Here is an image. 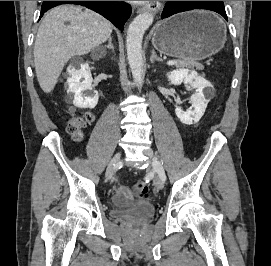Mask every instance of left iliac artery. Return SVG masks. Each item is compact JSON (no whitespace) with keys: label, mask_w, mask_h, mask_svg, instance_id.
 I'll return each mask as SVG.
<instances>
[{"label":"left iliac artery","mask_w":271,"mask_h":266,"mask_svg":"<svg viewBox=\"0 0 271 266\" xmlns=\"http://www.w3.org/2000/svg\"><path fill=\"white\" fill-rule=\"evenodd\" d=\"M154 168L158 172V175L162 178V180L165 182L166 181V175L165 171L162 167V164L159 162V164H154Z\"/></svg>","instance_id":"1"}]
</instances>
